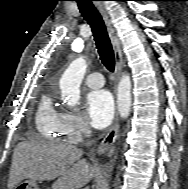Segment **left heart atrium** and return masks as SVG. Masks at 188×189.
I'll use <instances>...</instances> for the list:
<instances>
[{
    "label": "left heart atrium",
    "mask_w": 188,
    "mask_h": 189,
    "mask_svg": "<svg viewBox=\"0 0 188 189\" xmlns=\"http://www.w3.org/2000/svg\"><path fill=\"white\" fill-rule=\"evenodd\" d=\"M87 112L91 124L104 128L110 124L114 114V100L107 90L91 92L87 97Z\"/></svg>",
    "instance_id": "39dd6f15"
}]
</instances>
